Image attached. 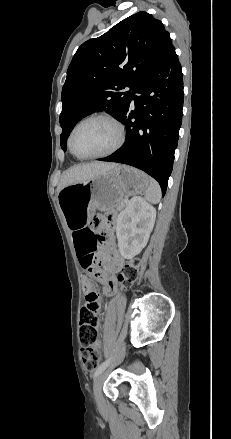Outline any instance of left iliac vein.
I'll return each instance as SVG.
<instances>
[{"label":"left iliac vein","instance_id":"1","mask_svg":"<svg viewBox=\"0 0 231 439\" xmlns=\"http://www.w3.org/2000/svg\"><path fill=\"white\" fill-rule=\"evenodd\" d=\"M103 375H104V373H102V372L99 374L97 380L94 383V387H93L94 398H95L96 404L99 408H102L104 406V399H103V396L101 393Z\"/></svg>","mask_w":231,"mask_h":439}]
</instances>
